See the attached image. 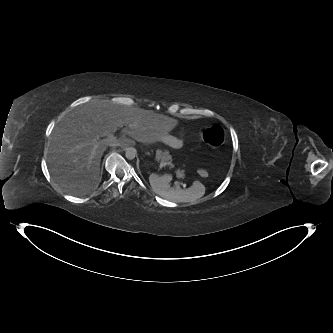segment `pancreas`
Listing matches in <instances>:
<instances>
[{
  "label": "pancreas",
  "instance_id": "obj_1",
  "mask_svg": "<svg viewBox=\"0 0 333 333\" xmlns=\"http://www.w3.org/2000/svg\"><path fill=\"white\" fill-rule=\"evenodd\" d=\"M155 160L160 164H165L170 166V168L174 167V165L172 164V156L169 154L168 151L157 150ZM176 175L178 178L182 179L185 177L184 171L180 169L176 171Z\"/></svg>",
  "mask_w": 333,
  "mask_h": 333
}]
</instances>
